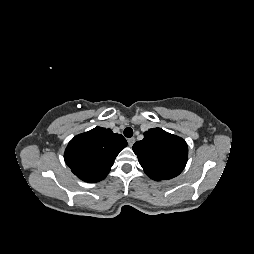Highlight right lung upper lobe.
Wrapping results in <instances>:
<instances>
[{"instance_id":"right-lung-upper-lobe-1","label":"right lung upper lobe","mask_w":254,"mask_h":254,"mask_svg":"<svg viewBox=\"0 0 254 254\" xmlns=\"http://www.w3.org/2000/svg\"><path fill=\"white\" fill-rule=\"evenodd\" d=\"M126 146L121 134L96 127L75 136L67 145L64 159L79 179L98 182L107 176L115 158Z\"/></svg>"}]
</instances>
